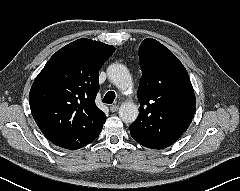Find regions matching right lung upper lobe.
Segmentation results:
<instances>
[{"instance_id":"right-lung-upper-lobe-1","label":"right lung upper lobe","mask_w":240,"mask_h":191,"mask_svg":"<svg viewBox=\"0 0 240 191\" xmlns=\"http://www.w3.org/2000/svg\"><path fill=\"white\" fill-rule=\"evenodd\" d=\"M114 51V46L81 38L54 53L38 74L30 109L52 143L79 141L103 126L106 116L95 104L99 70Z\"/></svg>"}]
</instances>
